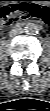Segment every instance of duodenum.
I'll return each mask as SVG.
<instances>
[{"instance_id":"obj_1","label":"duodenum","mask_w":50,"mask_h":111,"mask_svg":"<svg viewBox=\"0 0 50 111\" xmlns=\"http://www.w3.org/2000/svg\"><path fill=\"white\" fill-rule=\"evenodd\" d=\"M22 26H23L22 23L17 24V27H22Z\"/></svg>"}]
</instances>
